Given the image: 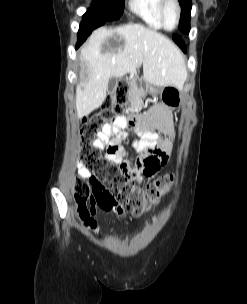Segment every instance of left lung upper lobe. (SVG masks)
I'll list each match as a JSON object with an SVG mask.
<instances>
[{"instance_id": "left-lung-upper-lobe-1", "label": "left lung upper lobe", "mask_w": 247, "mask_h": 304, "mask_svg": "<svg viewBox=\"0 0 247 304\" xmlns=\"http://www.w3.org/2000/svg\"><path fill=\"white\" fill-rule=\"evenodd\" d=\"M182 7L180 16L179 29L182 33H188L190 30V18H191V0H179Z\"/></svg>"}]
</instances>
